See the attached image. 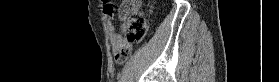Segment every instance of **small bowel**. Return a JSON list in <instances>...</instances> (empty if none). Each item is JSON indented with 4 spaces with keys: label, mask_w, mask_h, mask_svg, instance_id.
<instances>
[{
    "label": "small bowel",
    "mask_w": 279,
    "mask_h": 82,
    "mask_svg": "<svg viewBox=\"0 0 279 82\" xmlns=\"http://www.w3.org/2000/svg\"><path fill=\"white\" fill-rule=\"evenodd\" d=\"M104 16L107 30L109 32V42L111 44L112 53L114 54L116 61L118 63H122L125 61L123 58V51L128 47V44L125 40L123 27L121 26L120 30H116L113 24V9L108 3L104 5Z\"/></svg>",
    "instance_id": "small-bowel-1"
}]
</instances>
